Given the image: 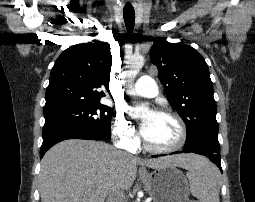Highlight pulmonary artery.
<instances>
[{
  "label": "pulmonary artery",
  "mask_w": 255,
  "mask_h": 202,
  "mask_svg": "<svg viewBox=\"0 0 255 202\" xmlns=\"http://www.w3.org/2000/svg\"><path fill=\"white\" fill-rule=\"evenodd\" d=\"M130 94L142 97H155L158 94V87L151 76L143 75L137 80Z\"/></svg>",
  "instance_id": "pulmonary-artery-1"
}]
</instances>
